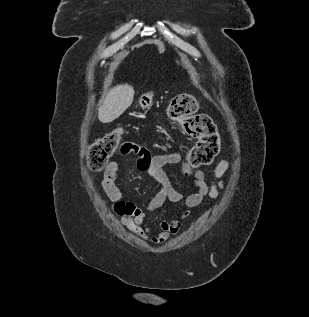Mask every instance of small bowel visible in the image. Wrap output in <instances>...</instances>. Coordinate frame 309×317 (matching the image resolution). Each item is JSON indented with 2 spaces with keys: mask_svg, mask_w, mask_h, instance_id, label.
I'll list each match as a JSON object with an SVG mask.
<instances>
[{
  "mask_svg": "<svg viewBox=\"0 0 309 317\" xmlns=\"http://www.w3.org/2000/svg\"><path fill=\"white\" fill-rule=\"evenodd\" d=\"M131 144V143H128ZM136 153L135 166L140 172L146 173L159 186L158 192L154 195L148 205L149 210H155L161 207L165 201L172 203L183 202L184 205L191 209L201 204L205 197L215 199L219 197L220 191L225 187L223 179L225 173L230 168V162L226 159L221 160L212 171L209 179L206 178L203 171L198 169L184 170L186 175L193 177L195 191L184 195L176 190L165 171L168 164H176L181 161L180 152L163 153L151 155L150 150L145 144L134 145L128 152ZM119 171V164L115 161L110 162L105 168L102 178V188L113 204V211L121 219V222L135 236L148 241L152 244H162L169 241L177 234L181 227L180 219H185L190 215V211H184L180 217L172 220H164L160 223L158 229H153L144 224L145 213L134 203L126 201L122 192L116 184Z\"/></svg>",
  "mask_w": 309,
  "mask_h": 317,
  "instance_id": "1",
  "label": "small bowel"
}]
</instances>
